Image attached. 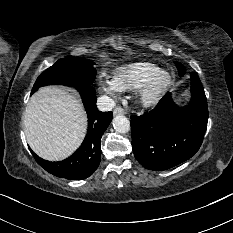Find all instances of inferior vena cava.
<instances>
[{
    "mask_svg": "<svg viewBox=\"0 0 233 233\" xmlns=\"http://www.w3.org/2000/svg\"><path fill=\"white\" fill-rule=\"evenodd\" d=\"M115 101L108 96H100L97 99V108L102 111H111L115 107Z\"/></svg>",
    "mask_w": 233,
    "mask_h": 233,
    "instance_id": "602c4592",
    "label": "inferior vena cava"
}]
</instances>
